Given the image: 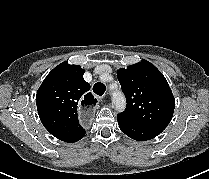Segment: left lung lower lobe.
<instances>
[{
	"label": "left lung lower lobe",
	"instance_id": "0a47b994",
	"mask_svg": "<svg viewBox=\"0 0 209 179\" xmlns=\"http://www.w3.org/2000/svg\"><path fill=\"white\" fill-rule=\"evenodd\" d=\"M117 121L122 132L134 140L146 141L160 134L159 132L137 125L120 116H117Z\"/></svg>",
	"mask_w": 209,
	"mask_h": 179
}]
</instances>
